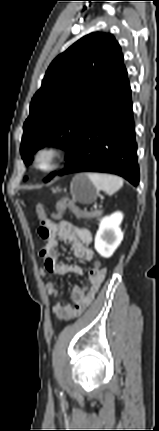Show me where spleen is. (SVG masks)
<instances>
[{
    "mask_svg": "<svg viewBox=\"0 0 159 431\" xmlns=\"http://www.w3.org/2000/svg\"><path fill=\"white\" fill-rule=\"evenodd\" d=\"M87 177L97 187L98 190L113 195L123 186V179L110 174L87 173Z\"/></svg>",
    "mask_w": 159,
    "mask_h": 431,
    "instance_id": "spleen-1",
    "label": "spleen"
}]
</instances>
